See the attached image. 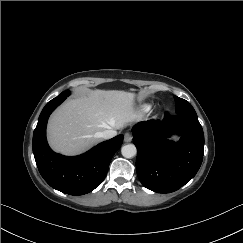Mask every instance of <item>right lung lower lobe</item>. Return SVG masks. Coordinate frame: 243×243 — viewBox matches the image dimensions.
<instances>
[{
  "label": "right lung lower lobe",
  "mask_w": 243,
  "mask_h": 243,
  "mask_svg": "<svg viewBox=\"0 0 243 243\" xmlns=\"http://www.w3.org/2000/svg\"><path fill=\"white\" fill-rule=\"evenodd\" d=\"M64 100L53 99L43 108L33 134V153L40 174L52 188L78 196L91 192L101 184L111 158L123 143V135L75 157L53 152L47 144L46 125L49 115Z\"/></svg>",
  "instance_id": "right-lung-lower-lobe-1"
}]
</instances>
